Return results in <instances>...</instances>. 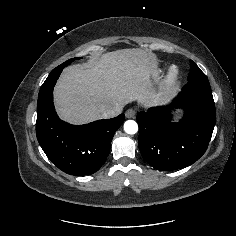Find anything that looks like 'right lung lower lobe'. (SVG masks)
Here are the masks:
<instances>
[{
    "label": "right lung lower lobe",
    "instance_id": "right-lung-lower-lobe-1",
    "mask_svg": "<svg viewBox=\"0 0 236 236\" xmlns=\"http://www.w3.org/2000/svg\"><path fill=\"white\" fill-rule=\"evenodd\" d=\"M62 69H53L40 88L36 136L47 157L60 170L72 175H90L105 163L112 138L125 115L81 126L60 120L53 104V87Z\"/></svg>",
    "mask_w": 236,
    "mask_h": 236
}]
</instances>
